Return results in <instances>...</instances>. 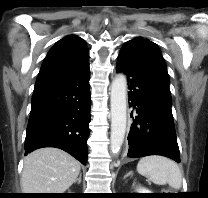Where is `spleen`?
Wrapping results in <instances>:
<instances>
[{
	"label": "spleen",
	"mask_w": 208,
	"mask_h": 198,
	"mask_svg": "<svg viewBox=\"0 0 208 198\" xmlns=\"http://www.w3.org/2000/svg\"><path fill=\"white\" fill-rule=\"evenodd\" d=\"M137 171L157 185L168 184L178 190L182 185V173L172 160L158 155L146 156L137 164Z\"/></svg>",
	"instance_id": "3e777b00"
}]
</instances>
